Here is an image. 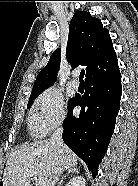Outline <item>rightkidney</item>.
Returning <instances> with one entry per match:
<instances>
[{
  "mask_svg": "<svg viewBox=\"0 0 138 186\" xmlns=\"http://www.w3.org/2000/svg\"><path fill=\"white\" fill-rule=\"evenodd\" d=\"M66 186H86V181L82 176L72 178Z\"/></svg>",
  "mask_w": 138,
  "mask_h": 186,
  "instance_id": "right-kidney-1",
  "label": "right kidney"
}]
</instances>
